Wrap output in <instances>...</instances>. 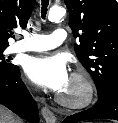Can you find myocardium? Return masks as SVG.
Listing matches in <instances>:
<instances>
[{
  "mask_svg": "<svg viewBox=\"0 0 118 123\" xmlns=\"http://www.w3.org/2000/svg\"><path fill=\"white\" fill-rule=\"evenodd\" d=\"M71 80L80 84L82 87L81 95L77 99H70L59 93L56 95L57 102L69 109H82L89 106L96 94L91 77L83 71H77L71 75Z\"/></svg>",
  "mask_w": 118,
  "mask_h": 123,
  "instance_id": "f54148a6",
  "label": "myocardium"
}]
</instances>
